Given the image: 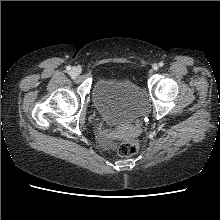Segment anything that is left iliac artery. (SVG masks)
Instances as JSON below:
<instances>
[{
  "mask_svg": "<svg viewBox=\"0 0 220 220\" xmlns=\"http://www.w3.org/2000/svg\"><path fill=\"white\" fill-rule=\"evenodd\" d=\"M159 66H160V67L164 66V63H163V62H160V63H159Z\"/></svg>",
  "mask_w": 220,
  "mask_h": 220,
  "instance_id": "left-iliac-artery-1",
  "label": "left iliac artery"
}]
</instances>
